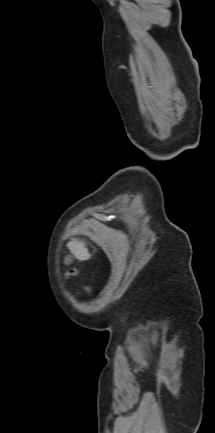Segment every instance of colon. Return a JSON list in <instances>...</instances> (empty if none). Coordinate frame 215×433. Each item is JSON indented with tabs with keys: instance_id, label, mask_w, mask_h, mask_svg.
Wrapping results in <instances>:
<instances>
[{
	"instance_id": "1",
	"label": "colon",
	"mask_w": 215,
	"mask_h": 433,
	"mask_svg": "<svg viewBox=\"0 0 215 433\" xmlns=\"http://www.w3.org/2000/svg\"><path fill=\"white\" fill-rule=\"evenodd\" d=\"M66 263H67V264H70V263H71V259H70V258H67V259H66ZM74 273H75V270H74V269H71V270H69L68 275H73Z\"/></svg>"
}]
</instances>
